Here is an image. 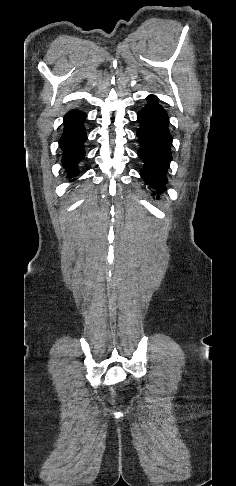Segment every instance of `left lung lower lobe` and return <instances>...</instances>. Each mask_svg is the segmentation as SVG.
Segmentation results:
<instances>
[{
    "mask_svg": "<svg viewBox=\"0 0 236 486\" xmlns=\"http://www.w3.org/2000/svg\"><path fill=\"white\" fill-rule=\"evenodd\" d=\"M148 104L137 114L141 126L137 131L140 142L138 156L144 161L141 177L151 187L163 191L168 182L166 172L172 155V138L169 132V117L159 99L147 97Z\"/></svg>",
    "mask_w": 236,
    "mask_h": 486,
    "instance_id": "0a47b994",
    "label": "left lung lower lobe"
}]
</instances>
